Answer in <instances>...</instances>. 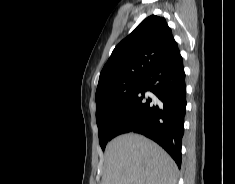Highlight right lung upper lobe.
Instances as JSON below:
<instances>
[{"label": "right lung upper lobe", "instance_id": "1", "mask_svg": "<svg viewBox=\"0 0 235 184\" xmlns=\"http://www.w3.org/2000/svg\"><path fill=\"white\" fill-rule=\"evenodd\" d=\"M178 50L166 20L156 15L147 17L115 47L103 67L95 95L96 105L105 102L109 89L143 80Z\"/></svg>", "mask_w": 235, "mask_h": 184}]
</instances>
